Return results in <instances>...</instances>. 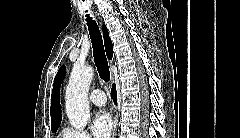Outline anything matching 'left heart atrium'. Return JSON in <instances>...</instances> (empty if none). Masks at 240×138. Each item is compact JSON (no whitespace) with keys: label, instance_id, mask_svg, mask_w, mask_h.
Here are the masks:
<instances>
[{"label":"left heart atrium","instance_id":"left-heart-atrium-1","mask_svg":"<svg viewBox=\"0 0 240 138\" xmlns=\"http://www.w3.org/2000/svg\"><path fill=\"white\" fill-rule=\"evenodd\" d=\"M113 129V122L108 112L101 110L96 113L91 123V131L96 138H108Z\"/></svg>","mask_w":240,"mask_h":138}]
</instances>
